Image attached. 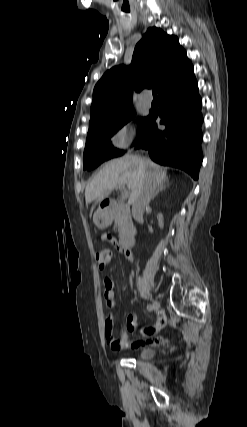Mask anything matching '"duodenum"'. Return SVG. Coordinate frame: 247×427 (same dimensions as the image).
<instances>
[{
	"mask_svg": "<svg viewBox=\"0 0 247 427\" xmlns=\"http://www.w3.org/2000/svg\"><path fill=\"white\" fill-rule=\"evenodd\" d=\"M102 209L106 214H112L115 211H128L127 206L120 204L116 201H107L102 205ZM136 230L131 228L127 233L121 238V247L123 249H129L134 245Z\"/></svg>",
	"mask_w": 247,
	"mask_h": 427,
	"instance_id": "1",
	"label": "duodenum"
}]
</instances>
